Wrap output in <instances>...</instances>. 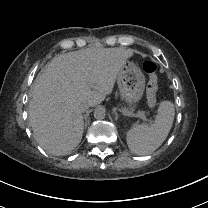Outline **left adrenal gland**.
Listing matches in <instances>:
<instances>
[{"label":"left adrenal gland","instance_id":"obj_1","mask_svg":"<svg viewBox=\"0 0 208 208\" xmlns=\"http://www.w3.org/2000/svg\"><path fill=\"white\" fill-rule=\"evenodd\" d=\"M114 113H115V120H117L118 119V113L115 112V110H114Z\"/></svg>","mask_w":208,"mask_h":208}]
</instances>
